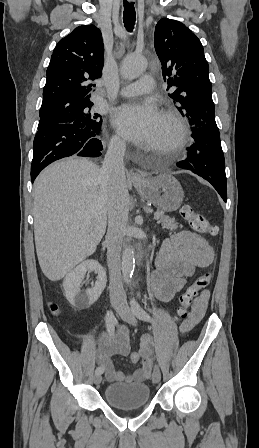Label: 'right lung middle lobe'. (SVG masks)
Masks as SVG:
<instances>
[{"mask_svg": "<svg viewBox=\"0 0 259 448\" xmlns=\"http://www.w3.org/2000/svg\"><path fill=\"white\" fill-rule=\"evenodd\" d=\"M93 104L70 108L66 110L39 114L40 121L38 130L44 129L48 126L72 123L78 128L86 130L99 129L102 124L101 116L91 110Z\"/></svg>", "mask_w": 259, "mask_h": 448, "instance_id": "obj_1", "label": "right lung middle lobe"}]
</instances>
